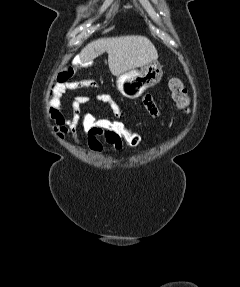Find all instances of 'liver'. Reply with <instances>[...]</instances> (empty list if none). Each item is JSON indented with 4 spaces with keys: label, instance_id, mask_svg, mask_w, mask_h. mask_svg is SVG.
Here are the masks:
<instances>
[{
    "label": "liver",
    "instance_id": "obj_1",
    "mask_svg": "<svg viewBox=\"0 0 240 287\" xmlns=\"http://www.w3.org/2000/svg\"><path fill=\"white\" fill-rule=\"evenodd\" d=\"M104 52L108 53V66L115 76L143 67L158 58L155 46L147 37L127 35L90 42L81 51L80 63H91Z\"/></svg>",
    "mask_w": 240,
    "mask_h": 287
}]
</instances>
